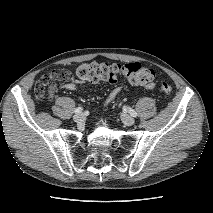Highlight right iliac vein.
<instances>
[{
    "instance_id": "right-iliac-vein-1",
    "label": "right iliac vein",
    "mask_w": 213,
    "mask_h": 213,
    "mask_svg": "<svg viewBox=\"0 0 213 213\" xmlns=\"http://www.w3.org/2000/svg\"><path fill=\"white\" fill-rule=\"evenodd\" d=\"M73 120L77 123H81L85 120V116H84V114L79 113V114L74 115Z\"/></svg>"
}]
</instances>
